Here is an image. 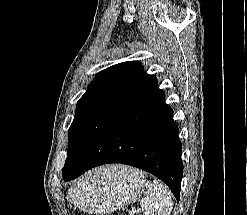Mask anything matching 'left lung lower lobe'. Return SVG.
<instances>
[{
  "label": "left lung lower lobe",
  "instance_id": "obj_1",
  "mask_svg": "<svg viewBox=\"0 0 247 215\" xmlns=\"http://www.w3.org/2000/svg\"><path fill=\"white\" fill-rule=\"evenodd\" d=\"M181 152L173 110L153 77L101 138L82 143L62 176L69 181L102 164H127L157 176L179 201Z\"/></svg>",
  "mask_w": 247,
  "mask_h": 215
}]
</instances>
